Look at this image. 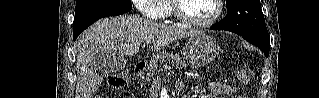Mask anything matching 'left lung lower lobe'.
<instances>
[{
    "instance_id": "left-lung-lower-lobe-1",
    "label": "left lung lower lobe",
    "mask_w": 319,
    "mask_h": 98,
    "mask_svg": "<svg viewBox=\"0 0 319 98\" xmlns=\"http://www.w3.org/2000/svg\"><path fill=\"white\" fill-rule=\"evenodd\" d=\"M211 29H213V30H221V28L219 26H217L216 24L211 26ZM242 37L245 40H247L248 42L256 45L257 47H259L264 52L265 56L268 57L269 50H270V39L246 37V36H242Z\"/></svg>"
}]
</instances>
